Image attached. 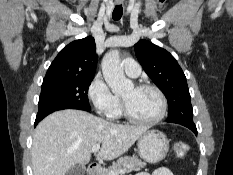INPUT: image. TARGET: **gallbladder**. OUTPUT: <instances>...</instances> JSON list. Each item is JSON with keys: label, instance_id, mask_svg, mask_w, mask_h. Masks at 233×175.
I'll return each instance as SVG.
<instances>
[{"label": "gallbladder", "instance_id": "bac80fb5", "mask_svg": "<svg viewBox=\"0 0 233 175\" xmlns=\"http://www.w3.org/2000/svg\"><path fill=\"white\" fill-rule=\"evenodd\" d=\"M84 174H85V167L81 164L75 165L66 173V175H84Z\"/></svg>", "mask_w": 233, "mask_h": 175}]
</instances>
